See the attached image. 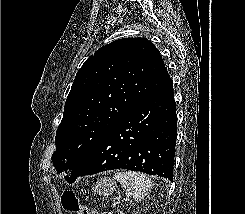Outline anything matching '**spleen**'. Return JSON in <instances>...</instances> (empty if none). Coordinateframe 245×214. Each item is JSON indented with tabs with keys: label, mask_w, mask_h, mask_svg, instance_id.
Here are the masks:
<instances>
[{
	"label": "spleen",
	"mask_w": 245,
	"mask_h": 214,
	"mask_svg": "<svg viewBox=\"0 0 245 214\" xmlns=\"http://www.w3.org/2000/svg\"><path fill=\"white\" fill-rule=\"evenodd\" d=\"M114 180L119 181L121 186L135 201L144 199L152 188L150 177L140 172L126 170L118 171L114 175Z\"/></svg>",
	"instance_id": "3e777b00"
}]
</instances>
